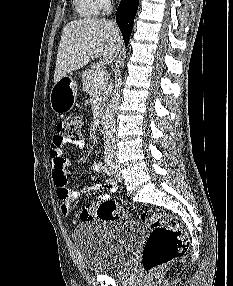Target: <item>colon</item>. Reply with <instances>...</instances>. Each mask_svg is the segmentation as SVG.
Returning a JSON list of instances; mask_svg holds the SVG:
<instances>
[{
	"instance_id": "colon-1",
	"label": "colon",
	"mask_w": 233,
	"mask_h": 286,
	"mask_svg": "<svg viewBox=\"0 0 233 286\" xmlns=\"http://www.w3.org/2000/svg\"><path fill=\"white\" fill-rule=\"evenodd\" d=\"M83 119L73 116L60 121L56 136L60 140L76 142L81 139ZM96 215L102 220H118L126 217L123 209L112 200L101 201ZM140 219L151 231L141 256V265L149 273L180 256L189 246V237L181 220L173 215L155 210H144Z\"/></svg>"
}]
</instances>
